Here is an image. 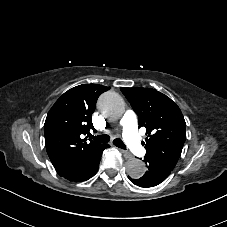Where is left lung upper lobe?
Listing matches in <instances>:
<instances>
[{
	"mask_svg": "<svg viewBox=\"0 0 227 227\" xmlns=\"http://www.w3.org/2000/svg\"><path fill=\"white\" fill-rule=\"evenodd\" d=\"M146 128L145 159L172 171L186 140V123L179 107L151 88H120ZM144 145V143H143Z\"/></svg>",
	"mask_w": 227,
	"mask_h": 227,
	"instance_id": "1",
	"label": "left lung upper lobe"
}]
</instances>
